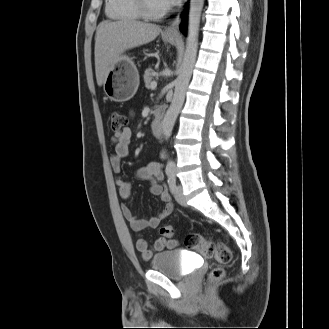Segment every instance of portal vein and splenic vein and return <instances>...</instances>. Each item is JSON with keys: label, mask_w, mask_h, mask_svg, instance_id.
I'll list each match as a JSON object with an SVG mask.
<instances>
[{"label": "portal vein and splenic vein", "mask_w": 329, "mask_h": 329, "mask_svg": "<svg viewBox=\"0 0 329 329\" xmlns=\"http://www.w3.org/2000/svg\"><path fill=\"white\" fill-rule=\"evenodd\" d=\"M157 87V82L156 81H152L150 84V88L151 89H155Z\"/></svg>", "instance_id": "obj_1"}]
</instances>
